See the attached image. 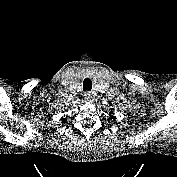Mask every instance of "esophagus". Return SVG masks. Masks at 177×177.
I'll return each instance as SVG.
<instances>
[{
	"label": "esophagus",
	"instance_id": "1",
	"mask_svg": "<svg viewBox=\"0 0 177 177\" xmlns=\"http://www.w3.org/2000/svg\"><path fill=\"white\" fill-rule=\"evenodd\" d=\"M84 99H85V101H91L92 100V96H91L90 92H85L84 93Z\"/></svg>",
	"mask_w": 177,
	"mask_h": 177
}]
</instances>
